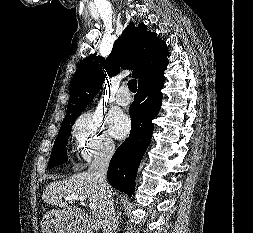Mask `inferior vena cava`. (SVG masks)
<instances>
[{
  "instance_id": "obj_1",
  "label": "inferior vena cava",
  "mask_w": 253,
  "mask_h": 233,
  "mask_svg": "<svg viewBox=\"0 0 253 233\" xmlns=\"http://www.w3.org/2000/svg\"><path fill=\"white\" fill-rule=\"evenodd\" d=\"M114 151V143L106 142L88 168V172L94 176L98 183L100 195L99 211L106 227V233H116V215L113 196L106 179L108 165Z\"/></svg>"
}]
</instances>
